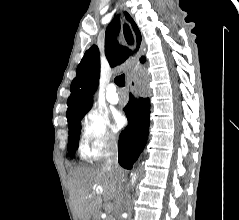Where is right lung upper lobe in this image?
I'll return each mask as SVG.
<instances>
[{
    "label": "right lung upper lobe",
    "mask_w": 239,
    "mask_h": 220,
    "mask_svg": "<svg viewBox=\"0 0 239 220\" xmlns=\"http://www.w3.org/2000/svg\"><path fill=\"white\" fill-rule=\"evenodd\" d=\"M125 16L134 30L138 50L141 43V33L129 14L125 12ZM120 27L121 24L117 16L107 27L105 34V55L112 67L124 62L130 54V50L127 47L120 46L116 41L113 42L112 40V37L116 38L118 35ZM126 40L128 42L127 36ZM140 61L145 62V58L141 57ZM76 73L77 75L70 86L71 94L67 101L68 125L91 109V96L97 88L100 76V57L97 46L93 45L85 52Z\"/></svg>",
    "instance_id": "obj_1"
}]
</instances>
